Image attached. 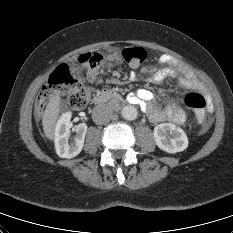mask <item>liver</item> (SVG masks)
I'll use <instances>...</instances> for the list:
<instances>
[{
	"label": "liver",
	"mask_w": 233,
	"mask_h": 233,
	"mask_svg": "<svg viewBox=\"0 0 233 233\" xmlns=\"http://www.w3.org/2000/svg\"><path fill=\"white\" fill-rule=\"evenodd\" d=\"M60 103L61 98L57 93L50 98L42 116L44 134L49 140H54L55 138L56 122L61 113Z\"/></svg>",
	"instance_id": "6515ba94"
}]
</instances>
